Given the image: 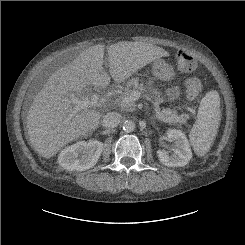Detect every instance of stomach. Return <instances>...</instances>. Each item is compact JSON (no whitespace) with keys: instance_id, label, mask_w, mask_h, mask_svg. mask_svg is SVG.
I'll list each match as a JSON object with an SVG mask.
<instances>
[{"instance_id":"1","label":"stomach","mask_w":245,"mask_h":245,"mask_svg":"<svg viewBox=\"0 0 245 245\" xmlns=\"http://www.w3.org/2000/svg\"><path fill=\"white\" fill-rule=\"evenodd\" d=\"M152 73L157 79L165 81L171 80L174 76L173 67L161 58L154 60Z\"/></svg>"}]
</instances>
